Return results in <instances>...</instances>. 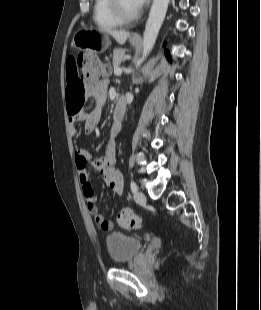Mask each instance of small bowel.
<instances>
[{
  "instance_id": "obj_1",
  "label": "small bowel",
  "mask_w": 261,
  "mask_h": 310,
  "mask_svg": "<svg viewBox=\"0 0 261 310\" xmlns=\"http://www.w3.org/2000/svg\"><path fill=\"white\" fill-rule=\"evenodd\" d=\"M66 99L69 113L70 132L76 135L78 130L76 124L83 121L85 123L86 132L91 134L97 128L100 122V114L102 106L105 102L107 82L100 81L93 84H82L77 76L76 63L70 58L66 67ZM84 97H90L93 104L90 108L82 111ZM120 127L113 124L111 127V139L107 143L104 155L95 160H91V153L86 149H78L75 152V163L79 174L83 195L87 202L89 212L92 214L95 222L101 226L103 230H111L113 223L104 218L96 206V196L90 183L88 163L99 171L107 187L114 194H121L124 189L123 176L116 168V142L115 137ZM107 227H103L104 224Z\"/></svg>"
}]
</instances>
